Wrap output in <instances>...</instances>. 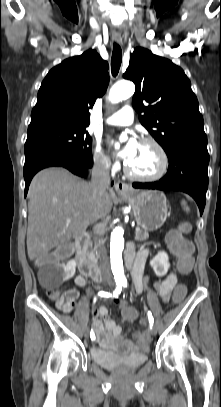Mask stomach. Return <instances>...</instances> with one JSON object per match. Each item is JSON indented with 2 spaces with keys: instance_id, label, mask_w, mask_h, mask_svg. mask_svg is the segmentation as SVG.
<instances>
[{
  "instance_id": "0dacf381",
  "label": "stomach",
  "mask_w": 221,
  "mask_h": 407,
  "mask_svg": "<svg viewBox=\"0 0 221 407\" xmlns=\"http://www.w3.org/2000/svg\"><path fill=\"white\" fill-rule=\"evenodd\" d=\"M132 206L138 226L145 231L159 229L168 216L166 196L157 190L132 191L123 196Z\"/></svg>"
}]
</instances>
